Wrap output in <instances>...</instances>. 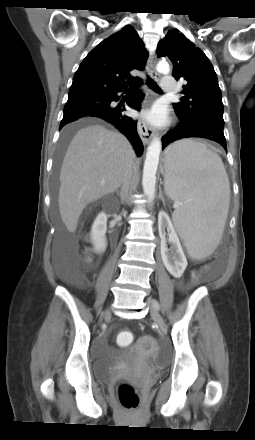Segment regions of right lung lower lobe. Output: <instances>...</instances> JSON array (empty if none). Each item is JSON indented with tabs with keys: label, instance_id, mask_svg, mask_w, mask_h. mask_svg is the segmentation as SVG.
I'll return each mask as SVG.
<instances>
[{
	"label": "right lung lower lobe",
	"instance_id": "obj_1",
	"mask_svg": "<svg viewBox=\"0 0 255 440\" xmlns=\"http://www.w3.org/2000/svg\"><path fill=\"white\" fill-rule=\"evenodd\" d=\"M127 85L106 93L85 94L69 97L64 107V116L60 129L66 124L86 116L106 120L119 129L131 142L138 156H141L143 143L137 133V123L132 118L122 114L124 108L113 107L112 101H118V92H125ZM143 96L136 95L128 102V106L140 110Z\"/></svg>",
	"mask_w": 255,
	"mask_h": 440
}]
</instances>
